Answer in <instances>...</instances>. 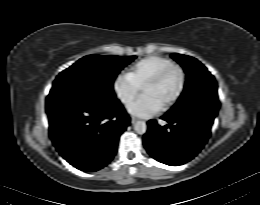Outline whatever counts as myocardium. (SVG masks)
<instances>
[{
  "instance_id": "1",
  "label": "myocardium",
  "mask_w": 260,
  "mask_h": 205,
  "mask_svg": "<svg viewBox=\"0 0 260 205\" xmlns=\"http://www.w3.org/2000/svg\"><path fill=\"white\" fill-rule=\"evenodd\" d=\"M172 72H178L180 74V85L175 94L164 105L161 106L162 110H168L172 108L182 98L188 83L187 73L183 67L176 64L158 73L155 79L150 83V85L154 83L159 84Z\"/></svg>"
}]
</instances>
